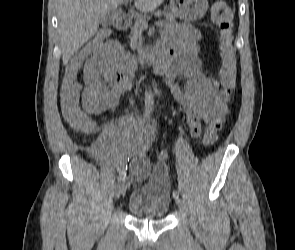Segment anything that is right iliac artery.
<instances>
[{"label":"right iliac artery","mask_w":295,"mask_h":250,"mask_svg":"<svg viewBox=\"0 0 295 250\" xmlns=\"http://www.w3.org/2000/svg\"><path fill=\"white\" fill-rule=\"evenodd\" d=\"M150 115V112L148 110L145 111L144 117L147 119ZM126 176V172L124 170L120 171L119 176H118V181L124 180Z\"/></svg>","instance_id":"right-iliac-artery-1"}]
</instances>
